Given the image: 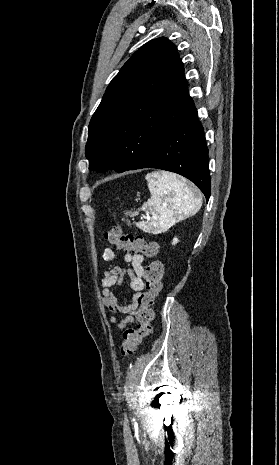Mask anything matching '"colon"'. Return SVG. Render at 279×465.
Listing matches in <instances>:
<instances>
[{
  "label": "colon",
  "instance_id": "colon-1",
  "mask_svg": "<svg viewBox=\"0 0 279 465\" xmlns=\"http://www.w3.org/2000/svg\"><path fill=\"white\" fill-rule=\"evenodd\" d=\"M104 237L120 249L132 253H141L150 259L149 264L143 272L146 290L139 294L136 299L138 305L136 313L138 325L135 329H126L122 335L120 353L123 358H127L136 351L143 338L149 336L152 332V306L162 288L164 268L162 262L157 258L159 248L156 243L146 242L140 235L123 233L121 227L118 225L106 231Z\"/></svg>",
  "mask_w": 279,
  "mask_h": 465
}]
</instances>
